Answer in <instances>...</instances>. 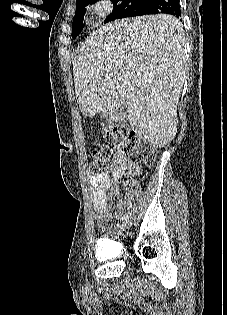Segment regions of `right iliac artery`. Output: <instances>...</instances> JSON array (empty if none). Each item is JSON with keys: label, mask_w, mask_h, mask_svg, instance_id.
Wrapping results in <instances>:
<instances>
[{"label": "right iliac artery", "mask_w": 227, "mask_h": 315, "mask_svg": "<svg viewBox=\"0 0 227 315\" xmlns=\"http://www.w3.org/2000/svg\"><path fill=\"white\" fill-rule=\"evenodd\" d=\"M129 217H130V214L127 213V214L123 215L121 219H122V221H126L129 219Z\"/></svg>", "instance_id": "obj_1"}]
</instances>
